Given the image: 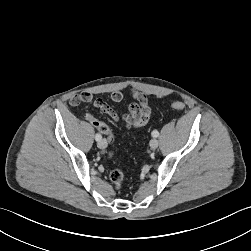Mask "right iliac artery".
I'll list each match as a JSON object with an SVG mask.
<instances>
[{
    "mask_svg": "<svg viewBox=\"0 0 251 251\" xmlns=\"http://www.w3.org/2000/svg\"><path fill=\"white\" fill-rule=\"evenodd\" d=\"M101 138H102V136H101L99 133H97V134L95 135L96 141L101 140Z\"/></svg>",
    "mask_w": 251,
    "mask_h": 251,
    "instance_id": "82829eb1",
    "label": "right iliac artery"
}]
</instances>
